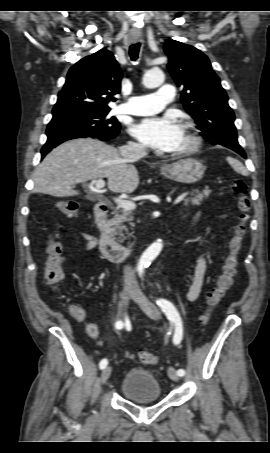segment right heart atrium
<instances>
[{"instance_id":"right-heart-atrium-1","label":"right heart atrium","mask_w":270,"mask_h":453,"mask_svg":"<svg viewBox=\"0 0 270 453\" xmlns=\"http://www.w3.org/2000/svg\"><path fill=\"white\" fill-rule=\"evenodd\" d=\"M129 146L132 147V148H135V149H141L142 146L136 142H130L129 143Z\"/></svg>"}]
</instances>
